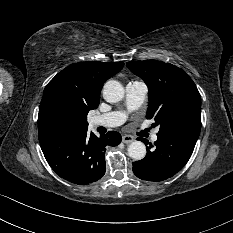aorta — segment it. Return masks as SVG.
I'll return each mask as SVG.
<instances>
[{"label":"aorta","mask_w":233,"mask_h":233,"mask_svg":"<svg viewBox=\"0 0 233 233\" xmlns=\"http://www.w3.org/2000/svg\"><path fill=\"white\" fill-rule=\"evenodd\" d=\"M103 97L109 103H116L123 99L124 88L116 80H109L103 87ZM128 155L134 160H142L146 156V146L141 141H133L128 146Z\"/></svg>","instance_id":"aorta-1"}]
</instances>
